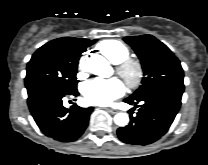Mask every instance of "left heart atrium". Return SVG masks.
<instances>
[{
  "label": "left heart atrium",
  "instance_id": "obj_1",
  "mask_svg": "<svg viewBox=\"0 0 208 165\" xmlns=\"http://www.w3.org/2000/svg\"><path fill=\"white\" fill-rule=\"evenodd\" d=\"M124 91V85L119 79L98 78L86 83L83 93L89 103L105 106L121 97Z\"/></svg>",
  "mask_w": 208,
  "mask_h": 165
}]
</instances>
